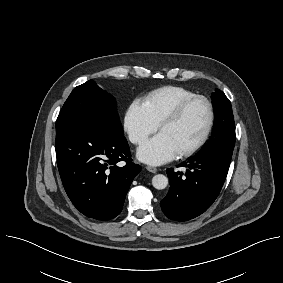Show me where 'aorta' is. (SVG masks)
<instances>
[{
    "label": "aorta",
    "mask_w": 283,
    "mask_h": 283,
    "mask_svg": "<svg viewBox=\"0 0 283 283\" xmlns=\"http://www.w3.org/2000/svg\"><path fill=\"white\" fill-rule=\"evenodd\" d=\"M152 185L158 190L165 189L168 185V178L163 174H157L152 178Z\"/></svg>",
    "instance_id": "762f6f07"
}]
</instances>
